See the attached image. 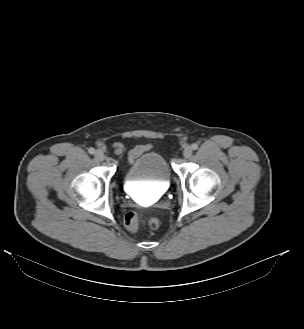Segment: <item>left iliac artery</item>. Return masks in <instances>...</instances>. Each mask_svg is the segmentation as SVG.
<instances>
[{"label":"left iliac artery","instance_id":"obj_1","mask_svg":"<svg viewBox=\"0 0 304 329\" xmlns=\"http://www.w3.org/2000/svg\"><path fill=\"white\" fill-rule=\"evenodd\" d=\"M191 147H192L193 150H197L198 149V145L196 143L192 144Z\"/></svg>","mask_w":304,"mask_h":329}]
</instances>
